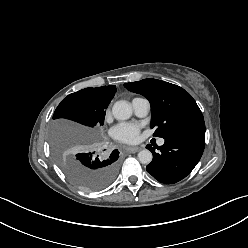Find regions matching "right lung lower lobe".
<instances>
[{
	"instance_id": "1",
	"label": "right lung lower lobe",
	"mask_w": 248,
	"mask_h": 248,
	"mask_svg": "<svg viewBox=\"0 0 248 248\" xmlns=\"http://www.w3.org/2000/svg\"><path fill=\"white\" fill-rule=\"evenodd\" d=\"M115 152H118V150H115ZM118 154H119V152H118Z\"/></svg>"
}]
</instances>
